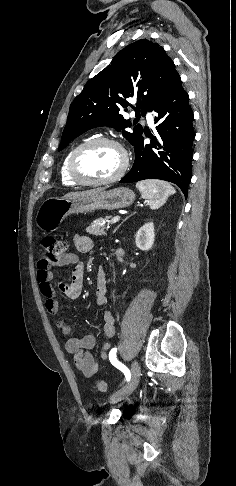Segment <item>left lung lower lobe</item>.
Masks as SVG:
<instances>
[{"label":"left lung lower lobe","mask_w":236,"mask_h":486,"mask_svg":"<svg viewBox=\"0 0 236 486\" xmlns=\"http://www.w3.org/2000/svg\"><path fill=\"white\" fill-rule=\"evenodd\" d=\"M180 76L167 86L148 111H155V123L162 143L149 136L151 144L145 145L143 136L134 145L135 162L132 169L121 179L131 183L144 179H161L175 183L185 197L192 177V144L195 137L193 112L189 95L181 85Z\"/></svg>","instance_id":"left-lung-lower-lobe-1"}]
</instances>
